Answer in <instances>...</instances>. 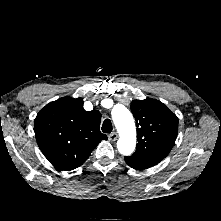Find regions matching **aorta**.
I'll return each mask as SVG.
<instances>
[{"mask_svg": "<svg viewBox=\"0 0 221 221\" xmlns=\"http://www.w3.org/2000/svg\"><path fill=\"white\" fill-rule=\"evenodd\" d=\"M112 119L119 133L118 151L122 155H130L136 146V127L133 116L123 105H116L112 110Z\"/></svg>", "mask_w": 221, "mask_h": 221, "instance_id": "obj_1", "label": "aorta"}]
</instances>
